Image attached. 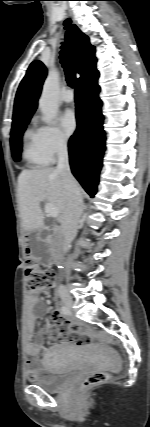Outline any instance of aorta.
<instances>
[{
	"mask_svg": "<svg viewBox=\"0 0 150 427\" xmlns=\"http://www.w3.org/2000/svg\"><path fill=\"white\" fill-rule=\"evenodd\" d=\"M59 80L56 71L51 70L44 82L39 107L42 111V120L48 124L58 113Z\"/></svg>",
	"mask_w": 150,
	"mask_h": 427,
	"instance_id": "762f6f07",
	"label": "aorta"
}]
</instances>
